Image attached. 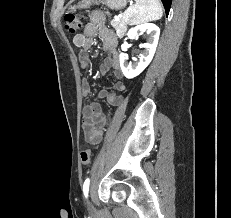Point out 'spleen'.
<instances>
[{
    "label": "spleen",
    "mask_w": 231,
    "mask_h": 218,
    "mask_svg": "<svg viewBox=\"0 0 231 218\" xmlns=\"http://www.w3.org/2000/svg\"><path fill=\"white\" fill-rule=\"evenodd\" d=\"M135 5L130 6L123 15L124 21L129 25L158 20L163 15L159 0H135Z\"/></svg>",
    "instance_id": "3e777b00"
}]
</instances>
